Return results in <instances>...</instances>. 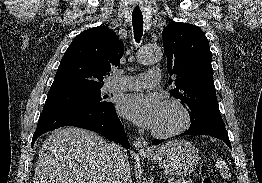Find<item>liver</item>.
Returning a JSON list of instances; mask_svg holds the SVG:
<instances>
[{
  "mask_svg": "<svg viewBox=\"0 0 262 183\" xmlns=\"http://www.w3.org/2000/svg\"><path fill=\"white\" fill-rule=\"evenodd\" d=\"M108 145L81 128L54 131L39 151L33 183H111Z\"/></svg>",
  "mask_w": 262,
  "mask_h": 183,
  "instance_id": "6515ba94",
  "label": "liver"
}]
</instances>
